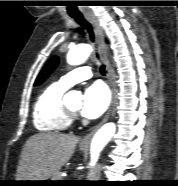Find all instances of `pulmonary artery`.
Returning a JSON list of instances; mask_svg holds the SVG:
<instances>
[{"label":"pulmonary artery","instance_id":"1","mask_svg":"<svg viewBox=\"0 0 178 186\" xmlns=\"http://www.w3.org/2000/svg\"><path fill=\"white\" fill-rule=\"evenodd\" d=\"M91 76L92 68L90 66H80L61 77L59 83L62 86L69 88L80 81L91 78Z\"/></svg>","mask_w":178,"mask_h":186}]
</instances>
